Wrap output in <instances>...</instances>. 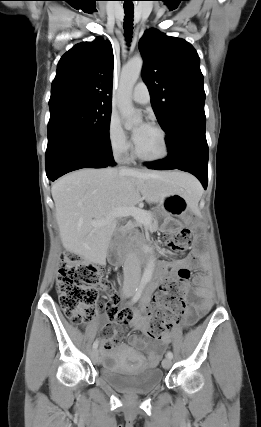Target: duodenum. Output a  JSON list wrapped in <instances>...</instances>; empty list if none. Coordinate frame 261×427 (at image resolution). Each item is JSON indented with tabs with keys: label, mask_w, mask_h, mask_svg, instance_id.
Masks as SVG:
<instances>
[{
	"label": "duodenum",
	"mask_w": 261,
	"mask_h": 427,
	"mask_svg": "<svg viewBox=\"0 0 261 427\" xmlns=\"http://www.w3.org/2000/svg\"><path fill=\"white\" fill-rule=\"evenodd\" d=\"M120 239H121V236L120 235H118V236H116V238H115V246L116 247H118V245H119V242H120ZM151 254H152V251H150V252H148V256H144V255H142V254H136L135 255V258H136V260H138V261H144V262H150V263H152L153 264V266H155V267H157V269H158V262L151 256ZM110 262H111V264L113 265V266H120L121 265V258H120V256L115 252V253H113V255H112V257H111V259H110Z\"/></svg>",
	"instance_id": "duodenum-1"
}]
</instances>
